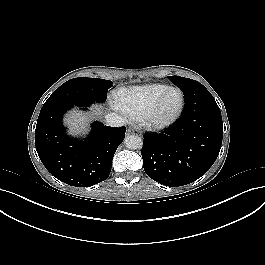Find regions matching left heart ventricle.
<instances>
[{
  "instance_id": "1",
  "label": "left heart ventricle",
  "mask_w": 265,
  "mask_h": 265,
  "mask_svg": "<svg viewBox=\"0 0 265 265\" xmlns=\"http://www.w3.org/2000/svg\"><path fill=\"white\" fill-rule=\"evenodd\" d=\"M179 102H180V95L178 92L176 91L168 92L159 107L158 115L160 117H167L171 115L178 107Z\"/></svg>"
}]
</instances>
